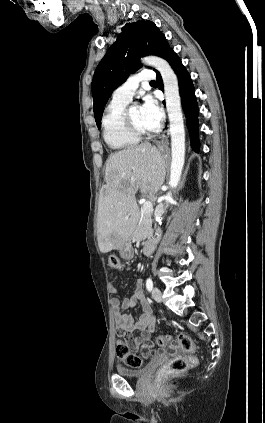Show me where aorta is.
<instances>
[{
	"instance_id": "762f6f07",
	"label": "aorta",
	"mask_w": 265,
	"mask_h": 423,
	"mask_svg": "<svg viewBox=\"0 0 265 423\" xmlns=\"http://www.w3.org/2000/svg\"><path fill=\"white\" fill-rule=\"evenodd\" d=\"M142 62L157 69L160 72L164 83L166 109L170 122L172 149L169 185L171 188H176L181 178L185 159V129L181 109L178 78L169 63L163 58L148 56L144 57ZM172 201V194L169 192L165 196L166 207L169 203H172Z\"/></svg>"
}]
</instances>
